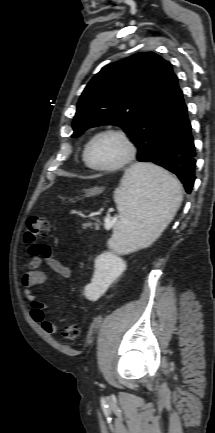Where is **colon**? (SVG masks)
Returning <instances> with one entry per match:
<instances>
[{
  "mask_svg": "<svg viewBox=\"0 0 215 433\" xmlns=\"http://www.w3.org/2000/svg\"><path fill=\"white\" fill-rule=\"evenodd\" d=\"M50 223L46 218L30 217L27 221L24 239L27 243L33 244L48 234ZM80 335V326L70 324L65 326L63 336L67 340H76Z\"/></svg>",
  "mask_w": 215,
  "mask_h": 433,
  "instance_id": "5ec220e1",
  "label": "colon"
}]
</instances>
